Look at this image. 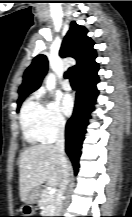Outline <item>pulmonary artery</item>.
<instances>
[{
	"label": "pulmonary artery",
	"instance_id": "e3ab8cb5",
	"mask_svg": "<svg viewBox=\"0 0 132 217\" xmlns=\"http://www.w3.org/2000/svg\"><path fill=\"white\" fill-rule=\"evenodd\" d=\"M62 87H63V89L66 90V91L71 90V85H70L69 81H67V80L63 81Z\"/></svg>",
	"mask_w": 132,
	"mask_h": 217
}]
</instances>
